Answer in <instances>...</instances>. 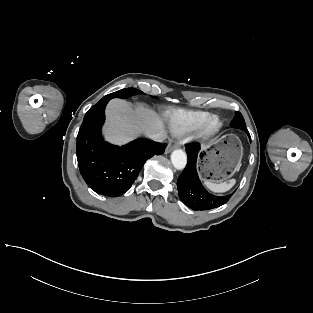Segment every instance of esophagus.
I'll return each instance as SVG.
<instances>
[{"mask_svg":"<svg viewBox=\"0 0 313 313\" xmlns=\"http://www.w3.org/2000/svg\"><path fill=\"white\" fill-rule=\"evenodd\" d=\"M180 146V143L177 142V141H171L169 144H168V147L166 149V152L167 153H170L172 150H174L175 148L179 147Z\"/></svg>","mask_w":313,"mask_h":313,"instance_id":"34e87169","label":"esophagus"}]
</instances>
